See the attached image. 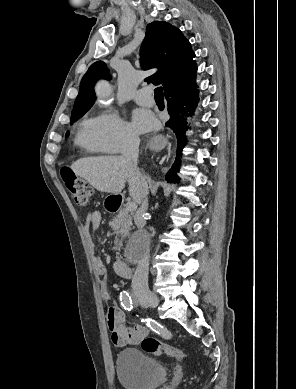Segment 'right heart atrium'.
Segmentation results:
<instances>
[{
  "mask_svg": "<svg viewBox=\"0 0 296 389\" xmlns=\"http://www.w3.org/2000/svg\"><path fill=\"white\" fill-rule=\"evenodd\" d=\"M96 122L99 142L105 152L118 153L138 143L137 134L115 110H103Z\"/></svg>",
  "mask_w": 296,
  "mask_h": 389,
  "instance_id": "right-heart-atrium-1",
  "label": "right heart atrium"
}]
</instances>
